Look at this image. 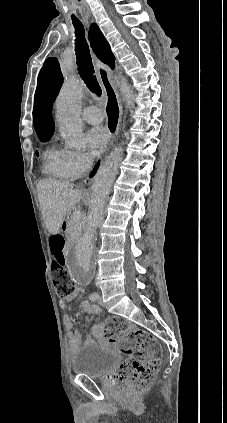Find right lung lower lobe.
Segmentation results:
<instances>
[{"label":"right lung lower lobe","mask_w":227,"mask_h":423,"mask_svg":"<svg viewBox=\"0 0 227 423\" xmlns=\"http://www.w3.org/2000/svg\"><path fill=\"white\" fill-rule=\"evenodd\" d=\"M98 166H99V163L95 166V168H94V170L92 171V173H91V175L90 176H93L94 174H95V172L97 171V169H98Z\"/></svg>","instance_id":"98d812e1"}]
</instances>
